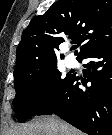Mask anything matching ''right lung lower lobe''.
Segmentation results:
<instances>
[{"instance_id": "right-lung-lower-lobe-1", "label": "right lung lower lobe", "mask_w": 112, "mask_h": 135, "mask_svg": "<svg viewBox=\"0 0 112 135\" xmlns=\"http://www.w3.org/2000/svg\"><path fill=\"white\" fill-rule=\"evenodd\" d=\"M82 59H90L82 80L85 88L78 87L79 78L73 74L37 115L56 114L89 135H112V43L86 52Z\"/></svg>"}]
</instances>
